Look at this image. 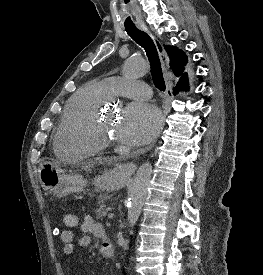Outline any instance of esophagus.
<instances>
[{
  "label": "esophagus",
  "instance_id": "34e87169",
  "mask_svg": "<svg viewBox=\"0 0 263 275\" xmlns=\"http://www.w3.org/2000/svg\"><path fill=\"white\" fill-rule=\"evenodd\" d=\"M139 28L149 33V30L145 25H140ZM150 35H151V38L153 39L154 44L157 48V51H158V54H159V57H160V60H161V63H162L163 71H164L165 81H166V91H165L166 100L163 104V114H162V122H163V125H164L165 118H166V115H167L168 102L171 98V86H172L171 80H170V77H169V72H168L169 59H168L167 53H166L163 45L161 44V42L155 36H153L152 34H150ZM155 142H156V140L153 141L148 147L143 149V151L151 149L154 146ZM120 169L125 174L132 175L136 170V165L133 162H127V163L122 164L120 166Z\"/></svg>",
  "mask_w": 263,
  "mask_h": 275
}]
</instances>
